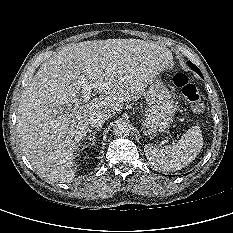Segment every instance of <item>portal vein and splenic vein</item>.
Segmentation results:
<instances>
[{
	"label": "portal vein and splenic vein",
	"mask_w": 233,
	"mask_h": 233,
	"mask_svg": "<svg viewBox=\"0 0 233 233\" xmlns=\"http://www.w3.org/2000/svg\"><path fill=\"white\" fill-rule=\"evenodd\" d=\"M79 84L82 88V99L84 102H86L90 99L92 89L95 87V85L85 81V79L79 80ZM55 112L62 113L63 111L59 110V111H55Z\"/></svg>",
	"instance_id": "18ae733b"
}]
</instances>
